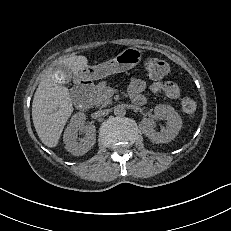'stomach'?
Instances as JSON below:
<instances>
[{
  "label": "stomach",
  "mask_w": 231,
  "mask_h": 231,
  "mask_svg": "<svg viewBox=\"0 0 231 231\" xmlns=\"http://www.w3.org/2000/svg\"><path fill=\"white\" fill-rule=\"evenodd\" d=\"M142 60V51L129 47L113 59L96 66H87L79 71V77L88 80L105 78L114 73H121L134 68Z\"/></svg>",
  "instance_id": "obj_1"
}]
</instances>
